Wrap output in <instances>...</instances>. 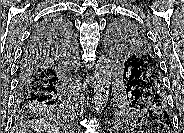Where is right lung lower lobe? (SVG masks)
I'll return each mask as SVG.
<instances>
[{"mask_svg": "<svg viewBox=\"0 0 184 133\" xmlns=\"http://www.w3.org/2000/svg\"><path fill=\"white\" fill-rule=\"evenodd\" d=\"M74 42L62 16L49 17L35 28L22 52L15 104H42L65 93Z\"/></svg>", "mask_w": 184, "mask_h": 133, "instance_id": "98d812e1", "label": "right lung lower lobe"}]
</instances>
